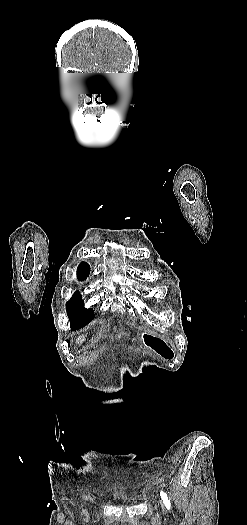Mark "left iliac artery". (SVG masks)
Wrapping results in <instances>:
<instances>
[{
	"label": "left iliac artery",
	"mask_w": 247,
	"mask_h": 525,
	"mask_svg": "<svg viewBox=\"0 0 247 525\" xmlns=\"http://www.w3.org/2000/svg\"><path fill=\"white\" fill-rule=\"evenodd\" d=\"M160 496H161V498L163 500V503L166 506V508L170 509L171 508V504H170V501H169V499L167 497V494L165 492L161 491L160 492Z\"/></svg>",
	"instance_id": "obj_1"
}]
</instances>
